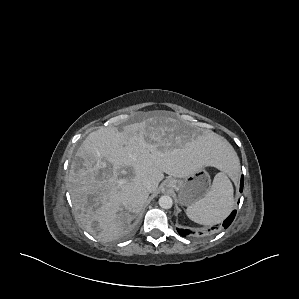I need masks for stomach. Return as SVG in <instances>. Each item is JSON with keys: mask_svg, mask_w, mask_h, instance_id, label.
<instances>
[{"mask_svg": "<svg viewBox=\"0 0 299 299\" xmlns=\"http://www.w3.org/2000/svg\"><path fill=\"white\" fill-rule=\"evenodd\" d=\"M166 188L178 192V200L183 206H190L205 195L211 188V180L204 167L186 177H169Z\"/></svg>", "mask_w": 299, "mask_h": 299, "instance_id": "stomach-1", "label": "stomach"}]
</instances>
